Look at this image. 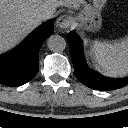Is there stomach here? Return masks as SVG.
I'll use <instances>...</instances> for the list:
<instances>
[{"label":"stomach","instance_id":"0dacf381","mask_svg":"<svg viewBox=\"0 0 128 128\" xmlns=\"http://www.w3.org/2000/svg\"><path fill=\"white\" fill-rule=\"evenodd\" d=\"M107 0H83L82 10L74 18L77 27L91 32L101 28V11Z\"/></svg>","mask_w":128,"mask_h":128}]
</instances>
